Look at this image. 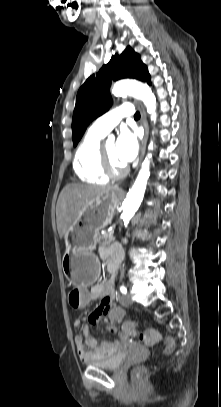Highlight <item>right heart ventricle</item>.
Segmentation results:
<instances>
[{"mask_svg": "<svg viewBox=\"0 0 221 407\" xmlns=\"http://www.w3.org/2000/svg\"><path fill=\"white\" fill-rule=\"evenodd\" d=\"M104 135L88 130L74 158V171L78 178L89 184H104L108 177L101 167L100 141Z\"/></svg>", "mask_w": 221, "mask_h": 407, "instance_id": "obj_1", "label": "right heart ventricle"}]
</instances>
